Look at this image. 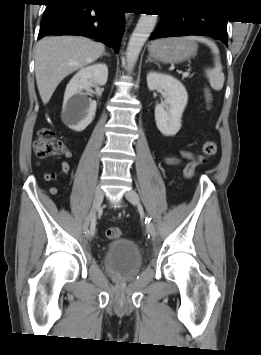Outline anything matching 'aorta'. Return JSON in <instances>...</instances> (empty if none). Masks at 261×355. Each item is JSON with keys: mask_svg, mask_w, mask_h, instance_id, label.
I'll return each instance as SVG.
<instances>
[{"mask_svg": "<svg viewBox=\"0 0 261 355\" xmlns=\"http://www.w3.org/2000/svg\"><path fill=\"white\" fill-rule=\"evenodd\" d=\"M157 15L141 14L126 49L127 69L134 67L144 43L156 25Z\"/></svg>", "mask_w": 261, "mask_h": 355, "instance_id": "1", "label": "aorta"}]
</instances>
